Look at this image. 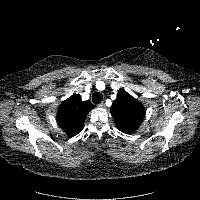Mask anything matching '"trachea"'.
Segmentation results:
<instances>
[{
  "mask_svg": "<svg viewBox=\"0 0 200 200\" xmlns=\"http://www.w3.org/2000/svg\"><path fill=\"white\" fill-rule=\"evenodd\" d=\"M103 100V95L100 92H96L92 95V101L94 104H99Z\"/></svg>",
  "mask_w": 200,
  "mask_h": 200,
  "instance_id": "obj_1",
  "label": "trachea"
}]
</instances>
